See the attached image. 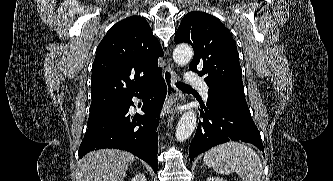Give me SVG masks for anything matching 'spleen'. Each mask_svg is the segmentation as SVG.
I'll return each instance as SVG.
<instances>
[{
	"instance_id": "spleen-1",
	"label": "spleen",
	"mask_w": 333,
	"mask_h": 181,
	"mask_svg": "<svg viewBox=\"0 0 333 181\" xmlns=\"http://www.w3.org/2000/svg\"><path fill=\"white\" fill-rule=\"evenodd\" d=\"M204 163L220 174L236 172L243 181H260L263 167L256 152L244 144L227 142L204 156Z\"/></svg>"
}]
</instances>
